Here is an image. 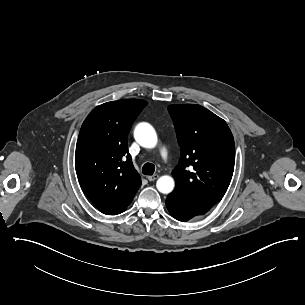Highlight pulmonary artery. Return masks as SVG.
<instances>
[{"label": "pulmonary artery", "instance_id": "1", "mask_svg": "<svg viewBox=\"0 0 305 305\" xmlns=\"http://www.w3.org/2000/svg\"><path fill=\"white\" fill-rule=\"evenodd\" d=\"M158 156L160 159L164 160V164H167L168 160L166 159H168L170 156L168 148L165 146L160 147L158 150ZM170 169H173V166H170Z\"/></svg>", "mask_w": 305, "mask_h": 305}]
</instances>
